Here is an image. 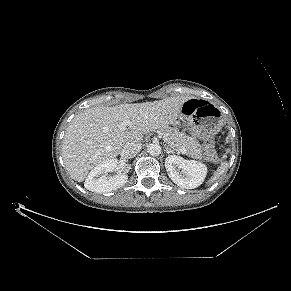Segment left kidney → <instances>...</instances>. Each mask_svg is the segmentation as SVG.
I'll return each mask as SVG.
<instances>
[{"label":"left kidney","mask_w":291,"mask_h":291,"mask_svg":"<svg viewBox=\"0 0 291 291\" xmlns=\"http://www.w3.org/2000/svg\"><path fill=\"white\" fill-rule=\"evenodd\" d=\"M165 168L170 179L185 189L200 186L208 171L205 164L195 160H185L177 155H170L165 159Z\"/></svg>","instance_id":"1"}]
</instances>
